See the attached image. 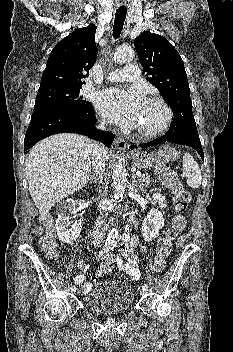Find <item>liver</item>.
Returning <instances> with one entry per match:
<instances>
[{
	"mask_svg": "<svg viewBox=\"0 0 233 352\" xmlns=\"http://www.w3.org/2000/svg\"><path fill=\"white\" fill-rule=\"evenodd\" d=\"M95 143L85 136L61 133L37 143L25 162L30 195L45 217L58 201L79 191L91 173ZM105 159L108 151L102 150Z\"/></svg>",
	"mask_w": 233,
	"mask_h": 352,
	"instance_id": "1",
	"label": "liver"
}]
</instances>
